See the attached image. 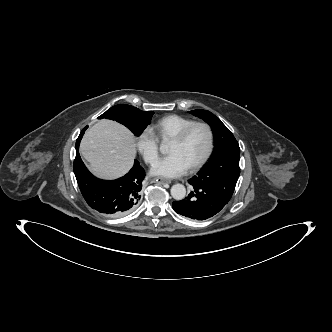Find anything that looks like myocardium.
Masks as SVG:
<instances>
[{"mask_svg":"<svg viewBox=\"0 0 332 332\" xmlns=\"http://www.w3.org/2000/svg\"><path fill=\"white\" fill-rule=\"evenodd\" d=\"M196 126H202L207 130L208 133V145L204 154L193 164L189 166L190 170H197L204 165V163L209 159L214 148V131L211 125L205 121H193L192 123L185 126L176 136L171 139V142L182 143L189 132Z\"/></svg>","mask_w":332,"mask_h":332,"instance_id":"obj_1","label":"myocardium"}]
</instances>
